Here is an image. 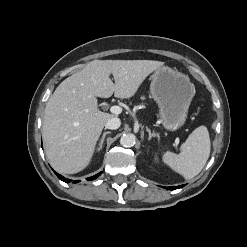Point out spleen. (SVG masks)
Wrapping results in <instances>:
<instances>
[{"label": "spleen", "mask_w": 247, "mask_h": 247, "mask_svg": "<svg viewBox=\"0 0 247 247\" xmlns=\"http://www.w3.org/2000/svg\"><path fill=\"white\" fill-rule=\"evenodd\" d=\"M210 137L207 127L199 126L181 146V152L175 154L167 151L163 162L185 179L198 175L205 166L210 155Z\"/></svg>", "instance_id": "obj_1"}]
</instances>
